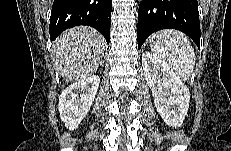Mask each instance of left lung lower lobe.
I'll list each match as a JSON object with an SVG mask.
<instances>
[{"label":"left lung lower lobe","instance_id":"1","mask_svg":"<svg viewBox=\"0 0 231 151\" xmlns=\"http://www.w3.org/2000/svg\"><path fill=\"white\" fill-rule=\"evenodd\" d=\"M187 34L200 47V21L197 0H142L138 11V48L147 37L162 29Z\"/></svg>","mask_w":231,"mask_h":151}]
</instances>
